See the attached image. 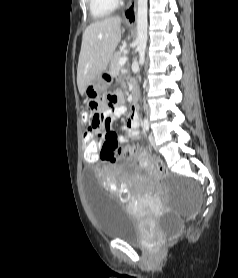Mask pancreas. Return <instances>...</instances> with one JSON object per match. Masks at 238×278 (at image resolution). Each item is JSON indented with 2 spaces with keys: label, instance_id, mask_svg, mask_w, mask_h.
Segmentation results:
<instances>
[{
  "label": "pancreas",
  "instance_id": "obj_1",
  "mask_svg": "<svg viewBox=\"0 0 238 278\" xmlns=\"http://www.w3.org/2000/svg\"><path fill=\"white\" fill-rule=\"evenodd\" d=\"M123 57V53L121 51H117L110 62V74L111 75H117L120 70L119 60Z\"/></svg>",
  "mask_w": 238,
  "mask_h": 278
}]
</instances>
